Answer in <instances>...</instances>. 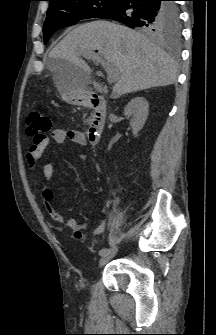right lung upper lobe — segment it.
I'll return each mask as SVG.
<instances>
[{
  "mask_svg": "<svg viewBox=\"0 0 216 335\" xmlns=\"http://www.w3.org/2000/svg\"><path fill=\"white\" fill-rule=\"evenodd\" d=\"M48 1L52 2V1H54V0H48Z\"/></svg>",
  "mask_w": 216,
  "mask_h": 335,
  "instance_id": "obj_1",
  "label": "right lung upper lobe"
}]
</instances>
